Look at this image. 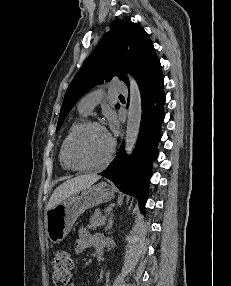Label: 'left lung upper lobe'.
<instances>
[{"instance_id":"1","label":"left lung upper lobe","mask_w":231,"mask_h":286,"mask_svg":"<svg viewBox=\"0 0 231 286\" xmlns=\"http://www.w3.org/2000/svg\"><path fill=\"white\" fill-rule=\"evenodd\" d=\"M157 58L151 39L139 25L129 17L114 21L68 86L56 131L79 98L92 87L114 76L129 85L126 73L137 78Z\"/></svg>"}]
</instances>
